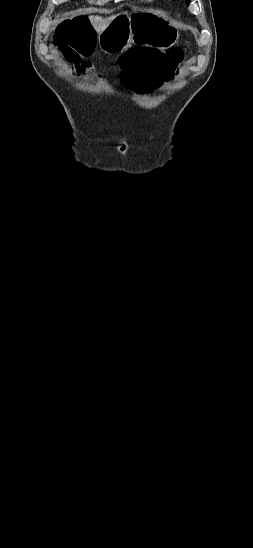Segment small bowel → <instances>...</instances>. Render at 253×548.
Instances as JSON below:
<instances>
[{
    "label": "small bowel",
    "instance_id": "c3829d8e",
    "mask_svg": "<svg viewBox=\"0 0 253 548\" xmlns=\"http://www.w3.org/2000/svg\"><path fill=\"white\" fill-rule=\"evenodd\" d=\"M171 75H172V77H173L174 74H171ZM161 84H162V83H160L159 85H161ZM133 88H134V87H133ZM141 88H142V92H143V88H144V87H141Z\"/></svg>",
    "mask_w": 253,
    "mask_h": 548
}]
</instances>
